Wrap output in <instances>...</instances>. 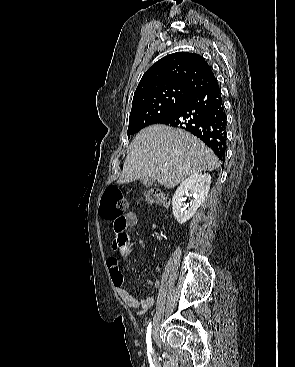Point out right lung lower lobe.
<instances>
[{
    "instance_id": "98d812e1",
    "label": "right lung lower lobe",
    "mask_w": 295,
    "mask_h": 367,
    "mask_svg": "<svg viewBox=\"0 0 295 367\" xmlns=\"http://www.w3.org/2000/svg\"><path fill=\"white\" fill-rule=\"evenodd\" d=\"M158 124L191 132L210 147L221 161L226 150V115L217 81L193 92Z\"/></svg>"
}]
</instances>
